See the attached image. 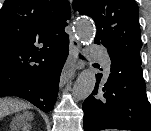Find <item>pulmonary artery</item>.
I'll use <instances>...</instances> for the list:
<instances>
[{"label":"pulmonary artery","mask_w":151,"mask_h":131,"mask_svg":"<svg viewBox=\"0 0 151 131\" xmlns=\"http://www.w3.org/2000/svg\"><path fill=\"white\" fill-rule=\"evenodd\" d=\"M91 53L101 61L105 71L108 72L110 68V59L103 48L93 45L91 47Z\"/></svg>","instance_id":"pulmonary-artery-1"}]
</instances>
